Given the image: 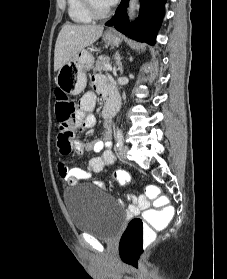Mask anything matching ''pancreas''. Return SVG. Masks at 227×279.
<instances>
[{
    "label": "pancreas",
    "mask_w": 227,
    "mask_h": 279,
    "mask_svg": "<svg viewBox=\"0 0 227 279\" xmlns=\"http://www.w3.org/2000/svg\"><path fill=\"white\" fill-rule=\"evenodd\" d=\"M106 64H110V59L108 57H103V58H99L96 63L95 66L93 67V72H98V71H104L105 69V65Z\"/></svg>",
    "instance_id": "obj_1"
}]
</instances>
